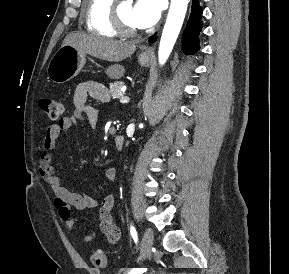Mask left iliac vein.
<instances>
[{
    "label": "left iliac vein",
    "mask_w": 289,
    "mask_h": 274,
    "mask_svg": "<svg viewBox=\"0 0 289 274\" xmlns=\"http://www.w3.org/2000/svg\"><path fill=\"white\" fill-rule=\"evenodd\" d=\"M154 237L151 229H146L143 234L141 244V255L140 260L147 258L151 253Z\"/></svg>",
    "instance_id": "1"
}]
</instances>
